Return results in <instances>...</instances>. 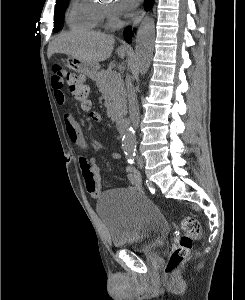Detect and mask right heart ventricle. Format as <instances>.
<instances>
[{"mask_svg":"<svg viewBox=\"0 0 245 300\" xmlns=\"http://www.w3.org/2000/svg\"><path fill=\"white\" fill-rule=\"evenodd\" d=\"M102 21L101 6L93 0H73L67 16V24L72 29L95 30Z\"/></svg>","mask_w":245,"mask_h":300,"instance_id":"e07e8e85","label":"right heart ventricle"}]
</instances>
